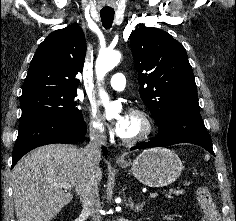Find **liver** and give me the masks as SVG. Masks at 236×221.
I'll list each match as a JSON object with an SVG mask.
<instances>
[{"instance_id": "obj_1", "label": "liver", "mask_w": 236, "mask_h": 221, "mask_svg": "<svg viewBox=\"0 0 236 221\" xmlns=\"http://www.w3.org/2000/svg\"><path fill=\"white\" fill-rule=\"evenodd\" d=\"M81 151L73 145L51 144L16 164L12 188L18 221H51L74 194H80L87 173ZM95 175L100 181V168ZM63 184L71 185L74 191L63 190Z\"/></svg>"}]
</instances>
